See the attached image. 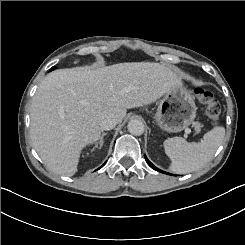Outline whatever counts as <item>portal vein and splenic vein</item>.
Returning a JSON list of instances; mask_svg holds the SVG:
<instances>
[{
  "instance_id": "1",
  "label": "portal vein and splenic vein",
  "mask_w": 245,
  "mask_h": 245,
  "mask_svg": "<svg viewBox=\"0 0 245 245\" xmlns=\"http://www.w3.org/2000/svg\"><path fill=\"white\" fill-rule=\"evenodd\" d=\"M184 131H185V133H187V134L192 133V132H191L192 130H191V128H189V127L185 128Z\"/></svg>"
}]
</instances>
